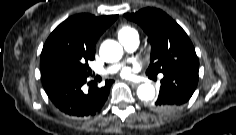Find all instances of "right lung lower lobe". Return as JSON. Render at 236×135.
<instances>
[{
    "mask_svg": "<svg viewBox=\"0 0 236 135\" xmlns=\"http://www.w3.org/2000/svg\"><path fill=\"white\" fill-rule=\"evenodd\" d=\"M89 76L75 72H41L42 84L50 100L61 112L72 117L95 115L108 97L113 80H106L103 87L93 86L88 93L83 92Z\"/></svg>",
    "mask_w": 236,
    "mask_h": 135,
    "instance_id": "obj_1",
    "label": "right lung lower lobe"
}]
</instances>
